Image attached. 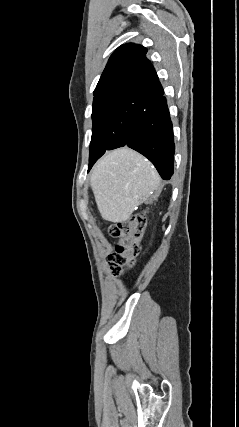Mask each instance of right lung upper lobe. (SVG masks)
I'll list each match as a JSON object with an SVG mask.
<instances>
[{
	"instance_id": "obj_1",
	"label": "right lung upper lobe",
	"mask_w": 239,
	"mask_h": 427,
	"mask_svg": "<svg viewBox=\"0 0 239 427\" xmlns=\"http://www.w3.org/2000/svg\"><path fill=\"white\" fill-rule=\"evenodd\" d=\"M138 44L120 46L110 57L94 90V101L138 97L148 99L163 93L155 69Z\"/></svg>"
}]
</instances>
